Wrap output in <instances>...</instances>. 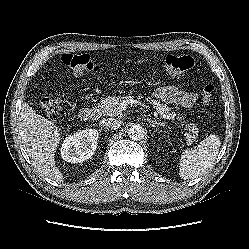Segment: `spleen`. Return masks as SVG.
Returning a JSON list of instances; mask_svg holds the SVG:
<instances>
[{
    "label": "spleen",
    "instance_id": "3e777b00",
    "mask_svg": "<svg viewBox=\"0 0 249 249\" xmlns=\"http://www.w3.org/2000/svg\"><path fill=\"white\" fill-rule=\"evenodd\" d=\"M220 145V136L211 134L195 149L183 151L180 159V177L194 179L204 174L215 161Z\"/></svg>",
    "mask_w": 249,
    "mask_h": 249
}]
</instances>
